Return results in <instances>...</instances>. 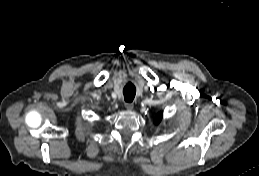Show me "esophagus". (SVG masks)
Returning a JSON list of instances; mask_svg holds the SVG:
<instances>
[{
  "label": "esophagus",
  "instance_id": "34e87169",
  "mask_svg": "<svg viewBox=\"0 0 259 176\" xmlns=\"http://www.w3.org/2000/svg\"><path fill=\"white\" fill-rule=\"evenodd\" d=\"M133 107H134L133 103H128V102L125 103V108L127 110L131 111L133 109Z\"/></svg>",
  "mask_w": 259,
  "mask_h": 176
}]
</instances>
